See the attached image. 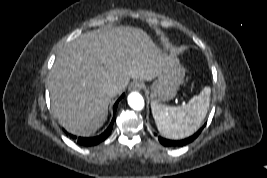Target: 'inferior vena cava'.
I'll list each match as a JSON object with an SVG mask.
<instances>
[{
	"label": "inferior vena cava",
	"instance_id": "602c4592",
	"mask_svg": "<svg viewBox=\"0 0 267 178\" xmlns=\"http://www.w3.org/2000/svg\"><path fill=\"white\" fill-rule=\"evenodd\" d=\"M107 93L111 96H115L116 94H118L119 92V89L117 87V85L115 84H112V85H109L106 89Z\"/></svg>",
	"mask_w": 267,
	"mask_h": 178
}]
</instances>
